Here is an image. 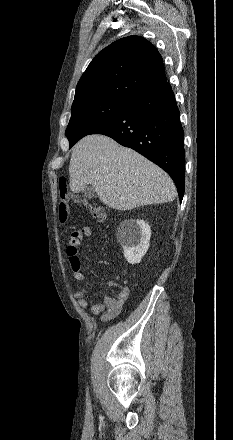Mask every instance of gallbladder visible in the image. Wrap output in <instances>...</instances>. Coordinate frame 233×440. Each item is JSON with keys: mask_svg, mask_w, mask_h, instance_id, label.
<instances>
[{"mask_svg": "<svg viewBox=\"0 0 233 440\" xmlns=\"http://www.w3.org/2000/svg\"><path fill=\"white\" fill-rule=\"evenodd\" d=\"M82 192H83V194H84V196H85L86 198L91 199V198H93V197H96L95 190H94V188L91 187V186H86V187H84V189L82 190Z\"/></svg>", "mask_w": 233, "mask_h": 440, "instance_id": "1", "label": "gallbladder"}]
</instances>
